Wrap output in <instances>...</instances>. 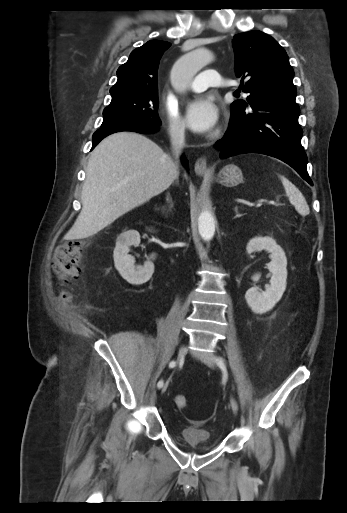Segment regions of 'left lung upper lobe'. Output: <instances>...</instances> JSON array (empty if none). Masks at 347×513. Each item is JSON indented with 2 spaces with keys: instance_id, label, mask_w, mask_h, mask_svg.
Returning <instances> with one entry per match:
<instances>
[{
  "instance_id": "obj_1",
  "label": "left lung upper lobe",
  "mask_w": 347,
  "mask_h": 513,
  "mask_svg": "<svg viewBox=\"0 0 347 513\" xmlns=\"http://www.w3.org/2000/svg\"><path fill=\"white\" fill-rule=\"evenodd\" d=\"M233 47L235 73L241 78L243 91L250 93L249 105L265 100L295 102L294 71L285 50L274 38L261 31H249L235 35ZM246 106V102L236 100L231 110Z\"/></svg>"
}]
</instances>
